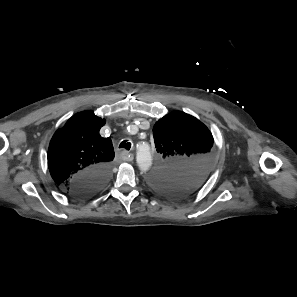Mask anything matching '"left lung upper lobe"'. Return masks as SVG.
<instances>
[{
	"mask_svg": "<svg viewBox=\"0 0 297 297\" xmlns=\"http://www.w3.org/2000/svg\"><path fill=\"white\" fill-rule=\"evenodd\" d=\"M159 153L151 186L170 197L188 195L197 190L210 174L213 136L195 117L174 111L153 127Z\"/></svg>",
	"mask_w": 297,
	"mask_h": 297,
	"instance_id": "obj_1",
	"label": "left lung upper lobe"
}]
</instances>
